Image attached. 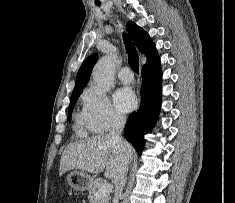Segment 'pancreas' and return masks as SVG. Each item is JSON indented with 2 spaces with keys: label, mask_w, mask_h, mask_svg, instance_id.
Wrapping results in <instances>:
<instances>
[{
  "label": "pancreas",
  "mask_w": 235,
  "mask_h": 203,
  "mask_svg": "<svg viewBox=\"0 0 235 203\" xmlns=\"http://www.w3.org/2000/svg\"><path fill=\"white\" fill-rule=\"evenodd\" d=\"M105 184V182L102 179H96L93 182L92 187L89 190L88 199L90 203H109L110 196L106 195L101 198L97 197L98 190Z\"/></svg>",
  "instance_id": "1"
}]
</instances>
